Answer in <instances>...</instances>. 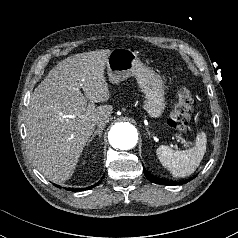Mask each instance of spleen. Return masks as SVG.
I'll return each instance as SVG.
<instances>
[{"mask_svg": "<svg viewBox=\"0 0 238 238\" xmlns=\"http://www.w3.org/2000/svg\"><path fill=\"white\" fill-rule=\"evenodd\" d=\"M207 138L201 131L195 140V146L189 150L174 151L166 145L157 148L156 154L162 166L169 170L175 177L191 175L200 165L206 152Z\"/></svg>", "mask_w": 238, "mask_h": 238, "instance_id": "spleen-1", "label": "spleen"}]
</instances>
